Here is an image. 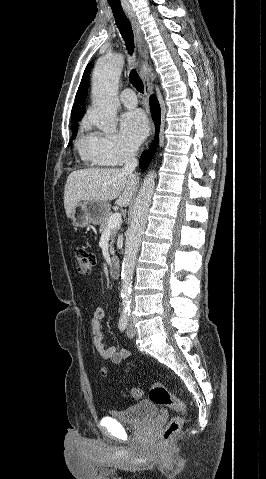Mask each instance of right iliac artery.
<instances>
[{
    "mask_svg": "<svg viewBox=\"0 0 266 479\" xmlns=\"http://www.w3.org/2000/svg\"><path fill=\"white\" fill-rule=\"evenodd\" d=\"M129 321V314H123L121 315L118 323V327L121 331H124L128 325Z\"/></svg>",
    "mask_w": 266,
    "mask_h": 479,
    "instance_id": "right-iliac-artery-1",
    "label": "right iliac artery"
}]
</instances>
